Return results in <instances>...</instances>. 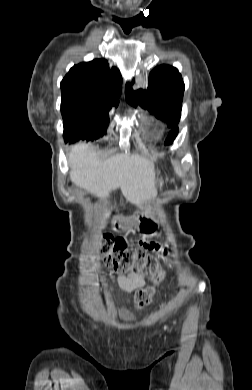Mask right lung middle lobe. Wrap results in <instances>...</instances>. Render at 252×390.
I'll use <instances>...</instances> for the list:
<instances>
[{
    "label": "right lung middle lobe",
    "mask_w": 252,
    "mask_h": 390,
    "mask_svg": "<svg viewBox=\"0 0 252 390\" xmlns=\"http://www.w3.org/2000/svg\"><path fill=\"white\" fill-rule=\"evenodd\" d=\"M109 108L81 106L61 109L64 123V140L93 141L106 134Z\"/></svg>",
    "instance_id": "obj_1"
}]
</instances>
